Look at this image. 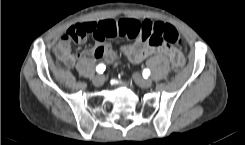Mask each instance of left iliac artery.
I'll use <instances>...</instances> for the list:
<instances>
[{
    "label": "left iliac artery",
    "mask_w": 245,
    "mask_h": 145,
    "mask_svg": "<svg viewBox=\"0 0 245 145\" xmlns=\"http://www.w3.org/2000/svg\"><path fill=\"white\" fill-rule=\"evenodd\" d=\"M150 75V70L149 69H144L143 70V77L147 78Z\"/></svg>",
    "instance_id": "obj_1"
}]
</instances>
